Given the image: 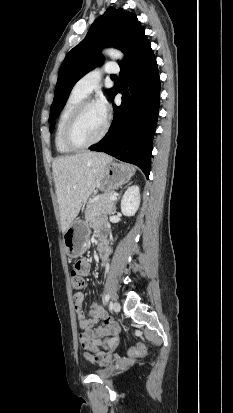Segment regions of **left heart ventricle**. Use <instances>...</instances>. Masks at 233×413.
I'll return each mask as SVG.
<instances>
[{
    "instance_id": "b2bd125f",
    "label": "left heart ventricle",
    "mask_w": 233,
    "mask_h": 413,
    "mask_svg": "<svg viewBox=\"0 0 233 413\" xmlns=\"http://www.w3.org/2000/svg\"><path fill=\"white\" fill-rule=\"evenodd\" d=\"M106 117L97 105L87 107L78 118L73 129V138L77 143H88L97 138L105 125Z\"/></svg>"
}]
</instances>
